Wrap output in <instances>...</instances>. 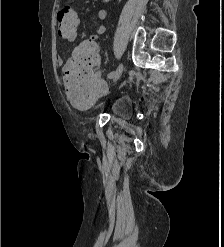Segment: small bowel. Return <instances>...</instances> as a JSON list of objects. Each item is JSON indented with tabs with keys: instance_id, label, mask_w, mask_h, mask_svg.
<instances>
[{
	"instance_id": "obj_1",
	"label": "small bowel",
	"mask_w": 224,
	"mask_h": 247,
	"mask_svg": "<svg viewBox=\"0 0 224 247\" xmlns=\"http://www.w3.org/2000/svg\"><path fill=\"white\" fill-rule=\"evenodd\" d=\"M97 16L100 20H104L107 17V13L105 10H99L97 13ZM105 31V26L103 24L99 25L96 30L94 31L93 34L90 35V38L88 41L90 42H94L97 40V38L102 35ZM77 33H75L74 35H72L71 37L67 38L68 40L72 41L76 38ZM57 63L58 65H63V60L61 57L57 58Z\"/></svg>"
}]
</instances>
